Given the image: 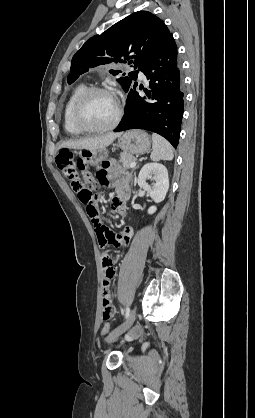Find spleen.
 Instances as JSON below:
<instances>
[{
    "label": "spleen",
    "instance_id": "spleen-1",
    "mask_svg": "<svg viewBox=\"0 0 255 418\" xmlns=\"http://www.w3.org/2000/svg\"><path fill=\"white\" fill-rule=\"evenodd\" d=\"M152 141H153V151L151 153V159L153 161L159 160H167L170 161L173 159V148L171 144L162 136L153 133L152 134Z\"/></svg>",
    "mask_w": 255,
    "mask_h": 418
}]
</instances>
